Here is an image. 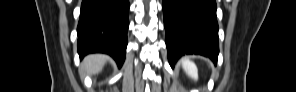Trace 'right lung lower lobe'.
<instances>
[{
	"label": "right lung lower lobe",
	"instance_id": "right-lung-lower-lobe-1",
	"mask_svg": "<svg viewBox=\"0 0 296 92\" xmlns=\"http://www.w3.org/2000/svg\"><path fill=\"white\" fill-rule=\"evenodd\" d=\"M128 0H83L77 27L78 53H106L120 67L127 47Z\"/></svg>",
	"mask_w": 296,
	"mask_h": 92
}]
</instances>
